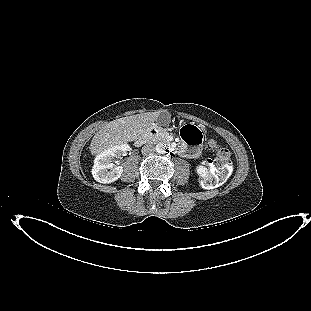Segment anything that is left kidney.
Listing matches in <instances>:
<instances>
[{"label":"left kidney","mask_w":311,"mask_h":311,"mask_svg":"<svg viewBox=\"0 0 311 311\" xmlns=\"http://www.w3.org/2000/svg\"><path fill=\"white\" fill-rule=\"evenodd\" d=\"M196 172L199 176H202V177H206L208 175V169L202 165H199L196 167Z\"/></svg>","instance_id":"1"}]
</instances>
